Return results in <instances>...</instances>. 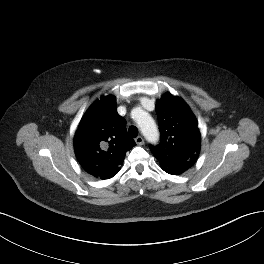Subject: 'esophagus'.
Listing matches in <instances>:
<instances>
[{"mask_svg":"<svg viewBox=\"0 0 264 264\" xmlns=\"http://www.w3.org/2000/svg\"><path fill=\"white\" fill-rule=\"evenodd\" d=\"M135 142L138 145H143L144 144V139H143L142 136H138V137L135 138Z\"/></svg>","mask_w":264,"mask_h":264,"instance_id":"obj_1","label":"esophagus"}]
</instances>
